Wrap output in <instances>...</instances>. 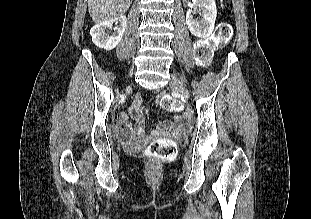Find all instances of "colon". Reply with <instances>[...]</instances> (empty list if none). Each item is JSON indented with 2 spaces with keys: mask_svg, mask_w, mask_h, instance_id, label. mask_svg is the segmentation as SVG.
<instances>
[{
  "mask_svg": "<svg viewBox=\"0 0 311 219\" xmlns=\"http://www.w3.org/2000/svg\"><path fill=\"white\" fill-rule=\"evenodd\" d=\"M231 37V25L227 22L219 23L210 37L196 42L194 47L196 59L201 63L209 62L212 58L213 50L225 46L230 41ZM159 104L168 111H175L178 108V103L165 94L160 95ZM176 150L177 146L175 142L170 139L158 138L154 139L149 144L146 149V155L153 160H167L176 154Z\"/></svg>",
  "mask_w": 311,
  "mask_h": 219,
  "instance_id": "1",
  "label": "colon"
}]
</instances>
